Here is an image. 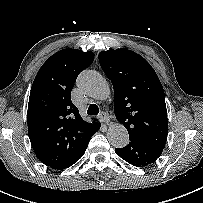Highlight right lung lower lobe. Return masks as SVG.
<instances>
[{
  "label": "right lung lower lobe",
  "instance_id": "right-lung-lower-lobe-1",
  "mask_svg": "<svg viewBox=\"0 0 203 203\" xmlns=\"http://www.w3.org/2000/svg\"><path fill=\"white\" fill-rule=\"evenodd\" d=\"M99 128H100V124H99V126H98L97 131L99 130ZM87 146H88V143L84 146V148L82 149V151L80 152V154L77 156V158L75 159V161L73 162V164H74L75 162H77V161L84 155ZM73 164H72V165H73Z\"/></svg>",
  "mask_w": 203,
  "mask_h": 203
}]
</instances>
